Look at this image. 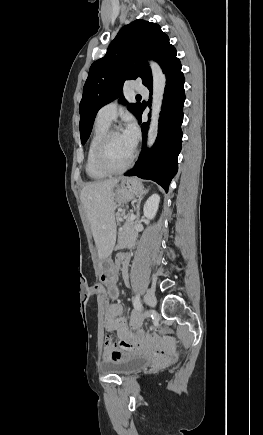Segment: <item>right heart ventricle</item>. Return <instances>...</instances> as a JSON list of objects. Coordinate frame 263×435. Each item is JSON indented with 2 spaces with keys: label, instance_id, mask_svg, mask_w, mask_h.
<instances>
[{
  "label": "right heart ventricle",
  "instance_id": "1",
  "mask_svg": "<svg viewBox=\"0 0 263 435\" xmlns=\"http://www.w3.org/2000/svg\"><path fill=\"white\" fill-rule=\"evenodd\" d=\"M110 124L99 121L96 119L95 124L93 126V131L91 134V138L88 144L86 162H85V171L89 178L94 180H100L105 178L108 174L100 171L95 163H94V152L96 145L102 135L109 129Z\"/></svg>",
  "mask_w": 263,
  "mask_h": 435
}]
</instances>
